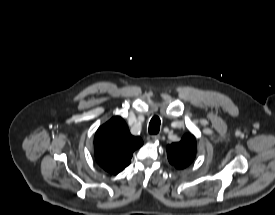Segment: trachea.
I'll list each match as a JSON object with an SVG mask.
<instances>
[{
    "instance_id": "trachea-1",
    "label": "trachea",
    "mask_w": 275,
    "mask_h": 215,
    "mask_svg": "<svg viewBox=\"0 0 275 215\" xmlns=\"http://www.w3.org/2000/svg\"><path fill=\"white\" fill-rule=\"evenodd\" d=\"M160 124L161 121L159 119V117L154 116L149 123V133L150 134H157L160 130Z\"/></svg>"
}]
</instances>
